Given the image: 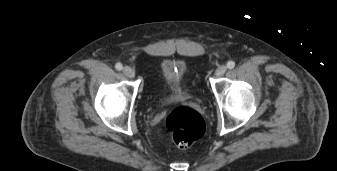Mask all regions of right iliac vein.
<instances>
[{"label": "right iliac vein", "instance_id": "1", "mask_svg": "<svg viewBox=\"0 0 337 171\" xmlns=\"http://www.w3.org/2000/svg\"><path fill=\"white\" fill-rule=\"evenodd\" d=\"M123 74L128 78H133L135 76L133 69L129 66L123 68Z\"/></svg>", "mask_w": 337, "mask_h": 171}]
</instances>
